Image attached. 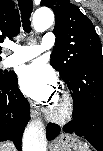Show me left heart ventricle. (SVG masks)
Instances as JSON below:
<instances>
[{
    "mask_svg": "<svg viewBox=\"0 0 103 151\" xmlns=\"http://www.w3.org/2000/svg\"><path fill=\"white\" fill-rule=\"evenodd\" d=\"M53 103H56V98H55V100H54V102Z\"/></svg>",
    "mask_w": 103,
    "mask_h": 151,
    "instance_id": "b2bd125f",
    "label": "left heart ventricle"
}]
</instances>
